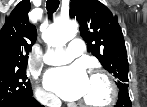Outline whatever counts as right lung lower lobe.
Masks as SVG:
<instances>
[{
    "mask_svg": "<svg viewBox=\"0 0 147 107\" xmlns=\"http://www.w3.org/2000/svg\"><path fill=\"white\" fill-rule=\"evenodd\" d=\"M5 107H43V106L40 105L33 97L29 96L15 100L7 104Z\"/></svg>",
    "mask_w": 147,
    "mask_h": 107,
    "instance_id": "98d812e1",
    "label": "right lung lower lobe"
}]
</instances>
